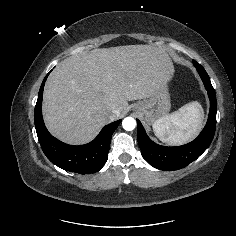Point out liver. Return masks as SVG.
<instances>
[{"instance_id":"liver-1","label":"liver","mask_w":236,"mask_h":236,"mask_svg":"<svg viewBox=\"0 0 236 236\" xmlns=\"http://www.w3.org/2000/svg\"><path fill=\"white\" fill-rule=\"evenodd\" d=\"M173 75L169 54L151 45L101 48L71 56L57 65L45 84V124L61 141L85 144L118 119L128 101L153 96Z\"/></svg>"}]
</instances>
